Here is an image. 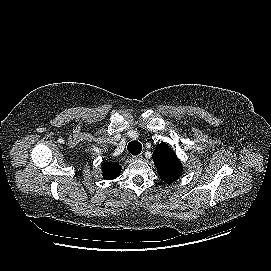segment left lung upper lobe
<instances>
[{
	"label": "left lung upper lobe",
	"instance_id": "5c2ea615",
	"mask_svg": "<svg viewBox=\"0 0 271 271\" xmlns=\"http://www.w3.org/2000/svg\"><path fill=\"white\" fill-rule=\"evenodd\" d=\"M160 178L166 183L179 179L183 167L176 154L166 143L158 144L152 155Z\"/></svg>",
	"mask_w": 271,
	"mask_h": 271
}]
</instances>
